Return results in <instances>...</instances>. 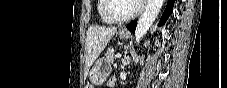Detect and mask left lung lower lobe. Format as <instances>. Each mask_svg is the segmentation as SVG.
Segmentation results:
<instances>
[{
	"label": "left lung lower lobe",
	"mask_w": 227,
	"mask_h": 88,
	"mask_svg": "<svg viewBox=\"0 0 227 88\" xmlns=\"http://www.w3.org/2000/svg\"><path fill=\"white\" fill-rule=\"evenodd\" d=\"M174 2H175V0H168L166 9H165V11H164V13H163V15L161 17V20L159 22V26L165 24V22L168 19V17L172 14ZM136 25H137V21H133L129 25H127V28L131 32L135 33Z\"/></svg>",
	"instance_id": "left-lung-lower-lobe-1"
}]
</instances>
